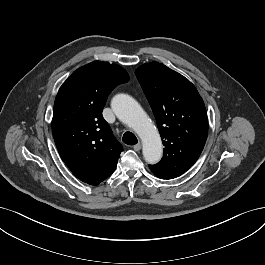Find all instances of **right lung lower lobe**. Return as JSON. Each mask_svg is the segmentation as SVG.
<instances>
[{
	"label": "right lung lower lobe",
	"mask_w": 265,
	"mask_h": 265,
	"mask_svg": "<svg viewBox=\"0 0 265 265\" xmlns=\"http://www.w3.org/2000/svg\"><path fill=\"white\" fill-rule=\"evenodd\" d=\"M116 165H113L111 168H109L102 176H100L99 178L97 179H93V180H82L83 182L85 183H88L90 185H98L100 182H102L103 180H105L107 177H109L113 171L115 170L116 168Z\"/></svg>",
	"instance_id": "right-lung-lower-lobe-1"
}]
</instances>
